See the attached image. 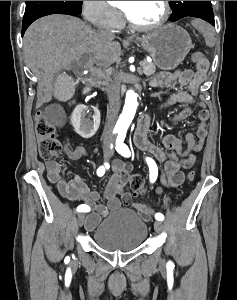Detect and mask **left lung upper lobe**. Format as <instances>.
<instances>
[{
	"label": "left lung upper lobe",
	"instance_id": "5c2ea615",
	"mask_svg": "<svg viewBox=\"0 0 237 300\" xmlns=\"http://www.w3.org/2000/svg\"><path fill=\"white\" fill-rule=\"evenodd\" d=\"M173 9L171 21L183 17H196L203 20L213 18L211 1H170Z\"/></svg>",
	"mask_w": 237,
	"mask_h": 300
}]
</instances>
